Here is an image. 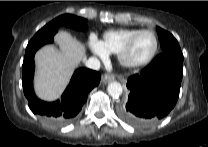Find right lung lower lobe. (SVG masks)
Returning a JSON list of instances; mask_svg holds the SVG:
<instances>
[{"instance_id":"98d812e1","label":"right lung lower lobe","mask_w":208,"mask_h":147,"mask_svg":"<svg viewBox=\"0 0 208 147\" xmlns=\"http://www.w3.org/2000/svg\"><path fill=\"white\" fill-rule=\"evenodd\" d=\"M55 33L43 38L31 39L28 43L22 65V86L34 114L40 115L53 124H65L80 112L88 93L99 84L101 75L96 71L80 68L75 71L60 101L48 103L38 99L32 86L35 69L34 55L41 46L53 41Z\"/></svg>"}]
</instances>
